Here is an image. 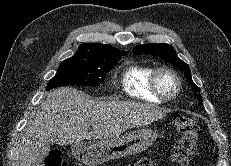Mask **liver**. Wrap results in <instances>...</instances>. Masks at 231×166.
I'll return each mask as SVG.
<instances>
[{
    "label": "liver",
    "instance_id": "1",
    "mask_svg": "<svg viewBox=\"0 0 231 166\" xmlns=\"http://www.w3.org/2000/svg\"><path fill=\"white\" fill-rule=\"evenodd\" d=\"M155 105L132 101H96L75 88L48 93L19 144L20 166H42L50 144L67 145L90 139H114L124 131L166 116ZM93 131L88 132L89 126Z\"/></svg>",
    "mask_w": 231,
    "mask_h": 166
}]
</instances>
